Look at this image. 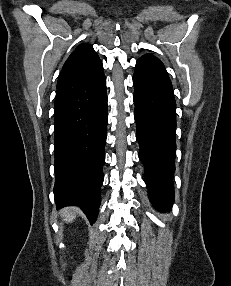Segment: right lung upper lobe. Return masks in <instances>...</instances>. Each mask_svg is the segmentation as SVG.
<instances>
[{
	"mask_svg": "<svg viewBox=\"0 0 231 286\" xmlns=\"http://www.w3.org/2000/svg\"><path fill=\"white\" fill-rule=\"evenodd\" d=\"M102 68V61L93 47L87 43L81 44L65 62L58 84L73 83L82 78L93 76Z\"/></svg>",
	"mask_w": 231,
	"mask_h": 286,
	"instance_id": "obj_1",
	"label": "right lung upper lobe"
}]
</instances>
